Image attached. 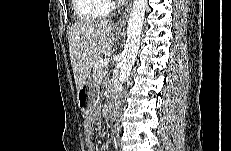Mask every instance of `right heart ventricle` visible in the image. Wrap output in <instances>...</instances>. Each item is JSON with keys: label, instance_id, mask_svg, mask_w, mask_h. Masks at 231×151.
I'll list each match as a JSON object with an SVG mask.
<instances>
[{"label": "right heart ventricle", "instance_id": "1", "mask_svg": "<svg viewBox=\"0 0 231 151\" xmlns=\"http://www.w3.org/2000/svg\"><path fill=\"white\" fill-rule=\"evenodd\" d=\"M73 3L80 24L102 20L108 14V7L102 0H74Z\"/></svg>", "mask_w": 231, "mask_h": 151}]
</instances>
